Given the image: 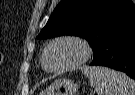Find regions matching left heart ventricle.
Returning a JSON list of instances; mask_svg holds the SVG:
<instances>
[{
	"instance_id": "left-heart-ventricle-1",
	"label": "left heart ventricle",
	"mask_w": 135,
	"mask_h": 95,
	"mask_svg": "<svg viewBox=\"0 0 135 95\" xmlns=\"http://www.w3.org/2000/svg\"><path fill=\"white\" fill-rule=\"evenodd\" d=\"M81 56L80 48L70 42L58 43L52 47L46 58L50 69H58L74 63Z\"/></svg>"
}]
</instances>
